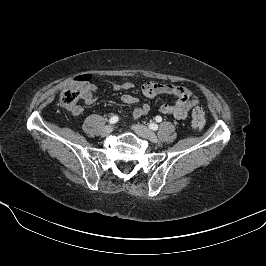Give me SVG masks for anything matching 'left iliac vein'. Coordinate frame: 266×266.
<instances>
[{"mask_svg":"<svg viewBox=\"0 0 266 266\" xmlns=\"http://www.w3.org/2000/svg\"><path fill=\"white\" fill-rule=\"evenodd\" d=\"M133 130L139 135L140 137L146 138L150 140L151 142L157 141L156 134L148 129L147 127L141 125V124H135L133 125Z\"/></svg>","mask_w":266,"mask_h":266,"instance_id":"4c4485c4","label":"left iliac vein"}]
</instances>
